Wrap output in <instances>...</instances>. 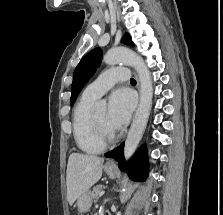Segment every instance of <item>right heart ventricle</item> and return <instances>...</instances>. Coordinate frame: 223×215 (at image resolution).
<instances>
[{"mask_svg": "<svg viewBox=\"0 0 223 215\" xmlns=\"http://www.w3.org/2000/svg\"><path fill=\"white\" fill-rule=\"evenodd\" d=\"M94 98L84 94L76 104L73 112L72 134L76 146L87 154L101 153L104 148L97 143L94 137L91 109Z\"/></svg>", "mask_w": 223, "mask_h": 215, "instance_id": "e07e8e85", "label": "right heart ventricle"}]
</instances>
